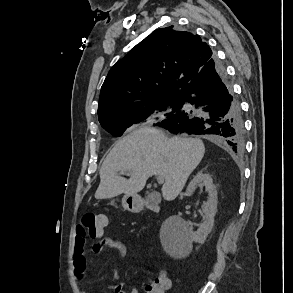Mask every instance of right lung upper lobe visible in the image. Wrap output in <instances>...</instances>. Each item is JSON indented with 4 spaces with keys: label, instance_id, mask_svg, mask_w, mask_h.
<instances>
[{
    "label": "right lung upper lobe",
    "instance_id": "cb5924a9",
    "mask_svg": "<svg viewBox=\"0 0 293 293\" xmlns=\"http://www.w3.org/2000/svg\"><path fill=\"white\" fill-rule=\"evenodd\" d=\"M214 57L198 35L173 26L156 29L109 71L101 88L98 118L176 100Z\"/></svg>",
    "mask_w": 293,
    "mask_h": 293
}]
</instances>
